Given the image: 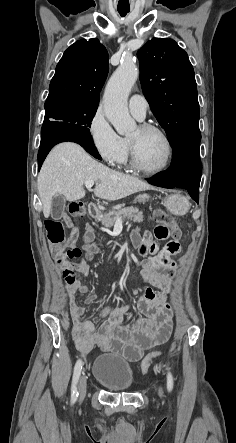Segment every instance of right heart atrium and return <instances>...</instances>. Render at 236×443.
Here are the masks:
<instances>
[{
  "label": "right heart atrium",
  "instance_id": "obj_1",
  "mask_svg": "<svg viewBox=\"0 0 236 443\" xmlns=\"http://www.w3.org/2000/svg\"><path fill=\"white\" fill-rule=\"evenodd\" d=\"M88 134L94 149L107 164H123L127 154L126 142L115 132L101 110L93 114L88 124Z\"/></svg>",
  "mask_w": 236,
  "mask_h": 443
}]
</instances>
